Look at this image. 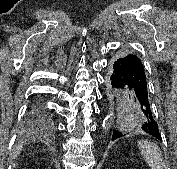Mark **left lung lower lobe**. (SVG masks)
Masks as SVG:
<instances>
[{
  "instance_id": "left-lung-lower-lobe-1",
  "label": "left lung lower lobe",
  "mask_w": 177,
  "mask_h": 169,
  "mask_svg": "<svg viewBox=\"0 0 177 169\" xmlns=\"http://www.w3.org/2000/svg\"><path fill=\"white\" fill-rule=\"evenodd\" d=\"M111 72L110 79L115 99H124L125 102L134 100L146 116L142 130L161 140L158 124L153 117L148 99L146 70L142 60L134 54L114 58L111 63ZM122 136V132L114 130L112 140Z\"/></svg>"
}]
</instances>
